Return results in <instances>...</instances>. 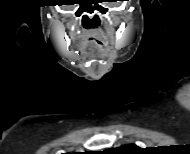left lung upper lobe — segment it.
Masks as SVG:
<instances>
[{
    "label": "left lung upper lobe",
    "instance_id": "obj_1",
    "mask_svg": "<svg viewBox=\"0 0 190 154\" xmlns=\"http://www.w3.org/2000/svg\"><path fill=\"white\" fill-rule=\"evenodd\" d=\"M115 150L119 151H135V150H140L139 147L135 146L134 144L130 145H124L122 147L116 148Z\"/></svg>",
    "mask_w": 190,
    "mask_h": 154
}]
</instances>
